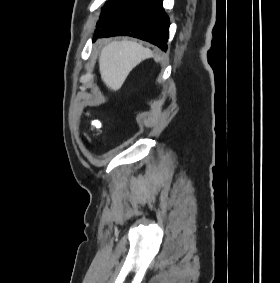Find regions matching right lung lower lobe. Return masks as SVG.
Instances as JSON below:
<instances>
[{
    "label": "right lung lower lobe",
    "mask_w": 280,
    "mask_h": 283,
    "mask_svg": "<svg viewBox=\"0 0 280 283\" xmlns=\"http://www.w3.org/2000/svg\"><path fill=\"white\" fill-rule=\"evenodd\" d=\"M169 24V17L162 7V0H141L109 19L98 29L94 39L127 35L148 41L166 50Z\"/></svg>",
    "instance_id": "98d812e1"
}]
</instances>
